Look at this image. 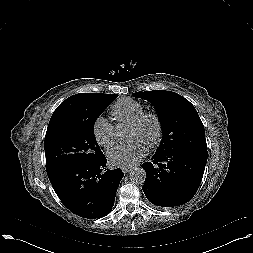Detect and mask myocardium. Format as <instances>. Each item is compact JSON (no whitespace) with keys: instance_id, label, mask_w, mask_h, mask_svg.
I'll list each match as a JSON object with an SVG mask.
<instances>
[{"instance_id":"1","label":"myocardium","mask_w":253,"mask_h":253,"mask_svg":"<svg viewBox=\"0 0 253 253\" xmlns=\"http://www.w3.org/2000/svg\"><path fill=\"white\" fill-rule=\"evenodd\" d=\"M148 119H152L154 121L156 131L153 139L147 144V146L149 148H154L159 144L163 134L162 121L157 113L152 111H144L139 116H137L131 123H129V126L133 128H139Z\"/></svg>"}]
</instances>
